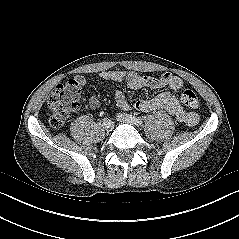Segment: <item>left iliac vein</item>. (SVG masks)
<instances>
[{"instance_id":"1","label":"left iliac vein","mask_w":239,"mask_h":239,"mask_svg":"<svg viewBox=\"0 0 239 239\" xmlns=\"http://www.w3.org/2000/svg\"><path fill=\"white\" fill-rule=\"evenodd\" d=\"M117 120L121 123L130 124L133 126L138 125L136 121L127 114H122V113L117 114Z\"/></svg>"}]
</instances>
